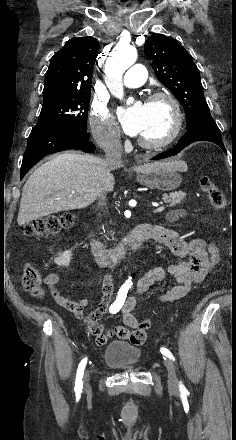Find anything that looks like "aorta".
I'll return each mask as SVG.
<instances>
[{
    "label": "aorta",
    "instance_id": "aorta-1",
    "mask_svg": "<svg viewBox=\"0 0 236 440\" xmlns=\"http://www.w3.org/2000/svg\"><path fill=\"white\" fill-rule=\"evenodd\" d=\"M137 51L131 46H117L105 64V82L117 98L122 99L124 89L122 77L124 72L135 63Z\"/></svg>",
    "mask_w": 236,
    "mask_h": 440
}]
</instances>
